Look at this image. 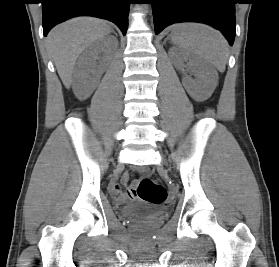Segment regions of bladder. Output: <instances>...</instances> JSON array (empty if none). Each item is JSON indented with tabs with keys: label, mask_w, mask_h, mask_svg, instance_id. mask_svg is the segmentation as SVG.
Masks as SVG:
<instances>
[{
	"label": "bladder",
	"mask_w": 279,
	"mask_h": 267,
	"mask_svg": "<svg viewBox=\"0 0 279 267\" xmlns=\"http://www.w3.org/2000/svg\"><path fill=\"white\" fill-rule=\"evenodd\" d=\"M124 213H125V215L129 218V219H131V220H133V221H136V220H140L141 218H140V215L142 214L141 212H138V211H136V210H129V209H126L125 211H124Z\"/></svg>",
	"instance_id": "31cf9c89"
}]
</instances>
